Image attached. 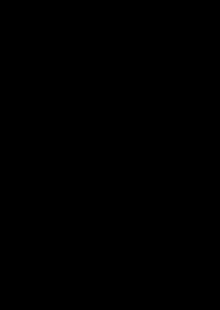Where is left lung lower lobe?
<instances>
[{"label": "left lung lower lobe", "instance_id": "1", "mask_svg": "<svg viewBox=\"0 0 220 310\" xmlns=\"http://www.w3.org/2000/svg\"><path fill=\"white\" fill-rule=\"evenodd\" d=\"M202 196L203 190L174 183L155 194L137 197L133 202L139 207L141 215L134 221H127V226L134 234L149 242L174 240L194 220Z\"/></svg>", "mask_w": 220, "mask_h": 310}]
</instances>
